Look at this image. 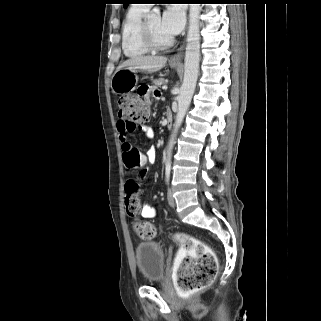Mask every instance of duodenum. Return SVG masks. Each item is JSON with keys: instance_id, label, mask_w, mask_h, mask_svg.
I'll return each mask as SVG.
<instances>
[{"instance_id": "obj_1", "label": "duodenum", "mask_w": 321, "mask_h": 321, "mask_svg": "<svg viewBox=\"0 0 321 321\" xmlns=\"http://www.w3.org/2000/svg\"><path fill=\"white\" fill-rule=\"evenodd\" d=\"M172 121H173L172 115L170 113H167L165 123L168 128L172 127Z\"/></svg>"}]
</instances>
